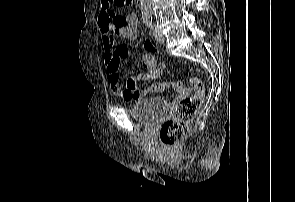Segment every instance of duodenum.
Here are the masks:
<instances>
[{
    "label": "duodenum",
    "mask_w": 295,
    "mask_h": 202,
    "mask_svg": "<svg viewBox=\"0 0 295 202\" xmlns=\"http://www.w3.org/2000/svg\"><path fill=\"white\" fill-rule=\"evenodd\" d=\"M137 1H138V3H142L143 0H137Z\"/></svg>",
    "instance_id": "1"
}]
</instances>
